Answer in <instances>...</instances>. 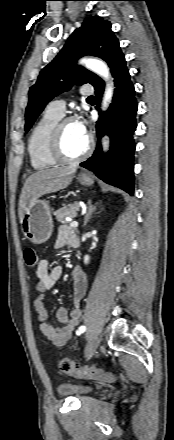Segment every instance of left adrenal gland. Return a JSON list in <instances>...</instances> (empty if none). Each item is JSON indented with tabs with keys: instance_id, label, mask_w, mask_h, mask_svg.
Wrapping results in <instances>:
<instances>
[{
	"instance_id": "a2214340",
	"label": "left adrenal gland",
	"mask_w": 174,
	"mask_h": 440,
	"mask_svg": "<svg viewBox=\"0 0 174 440\" xmlns=\"http://www.w3.org/2000/svg\"><path fill=\"white\" fill-rule=\"evenodd\" d=\"M95 209H96V206H92L91 203H89L88 211H87L85 218H84V226L87 225V223H88L89 219L91 218L92 213L95 211Z\"/></svg>"
}]
</instances>
